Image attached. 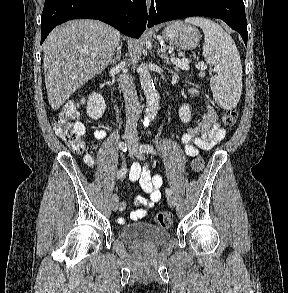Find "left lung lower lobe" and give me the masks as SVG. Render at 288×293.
<instances>
[{"label": "left lung lower lobe", "mask_w": 288, "mask_h": 293, "mask_svg": "<svg viewBox=\"0 0 288 293\" xmlns=\"http://www.w3.org/2000/svg\"><path fill=\"white\" fill-rule=\"evenodd\" d=\"M190 16L222 19L240 33L247 46V20L243 0H151L148 27Z\"/></svg>", "instance_id": "obj_1"}]
</instances>
